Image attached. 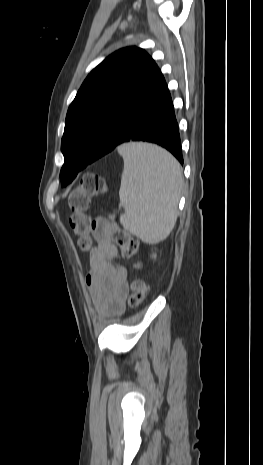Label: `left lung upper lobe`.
<instances>
[{
	"label": "left lung upper lobe",
	"mask_w": 263,
	"mask_h": 465,
	"mask_svg": "<svg viewBox=\"0 0 263 465\" xmlns=\"http://www.w3.org/2000/svg\"><path fill=\"white\" fill-rule=\"evenodd\" d=\"M154 65L143 49L127 47L91 71L67 112L61 142L64 158L74 155L87 160L93 156L118 110L136 96ZM60 179L63 185L68 183L62 174Z\"/></svg>",
	"instance_id": "left-lung-upper-lobe-1"
}]
</instances>
